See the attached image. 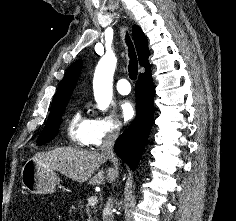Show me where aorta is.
Segmentation results:
<instances>
[{"label": "aorta", "mask_w": 236, "mask_h": 221, "mask_svg": "<svg viewBox=\"0 0 236 221\" xmlns=\"http://www.w3.org/2000/svg\"><path fill=\"white\" fill-rule=\"evenodd\" d=\"M117 59L114 54L104 55L99 66L105 73L104 79L94 89L95 100L99 109L106 110L112 100V81Z\"/></svg>", "instance_id": "aorta-1"}]
</instances>
